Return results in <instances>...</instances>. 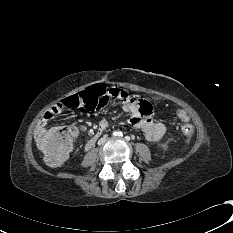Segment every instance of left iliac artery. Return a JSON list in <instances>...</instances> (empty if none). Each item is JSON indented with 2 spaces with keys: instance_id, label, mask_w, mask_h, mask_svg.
Returning a JSON list of instances; mask_svg holds the SVG:
<instances>
[{
  "instance_id": "1",
  "label": "left iliac artery",
  "mask_w": 233,
  "mask_h": 233,
  "mask_svg": "<svg viewBox=\"0 0 233 233\" xmlns=\"http://www.w3.org/2000/svg\"><path fill=\"white\" fill-rule=\"evenodd\" d=\"M118 135H119V136H123L122 132H119Z\"/></svg>"
}]
</instances>
